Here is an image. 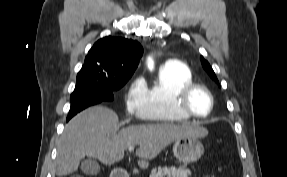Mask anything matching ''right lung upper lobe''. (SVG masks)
Listing matches in <instances>:
<instances>
[{
  "label": "right lung upper lobe",
  "instance_id": "1",
  "mask_svg": "<svg viewBox=\"0 0 287 177\" xmlns=\"http://www.w3.org/2000/svg\"><path fill=\"white\" fill-rule=\"evenodd\" d=\"M142 46L131 39L107 36L89 50L80 71L93 74L101 83L110 85L129 79L139 64Z\"/></svg>",
  "mask_w": 287,
  "mask_h": 177
}]
</instances>
